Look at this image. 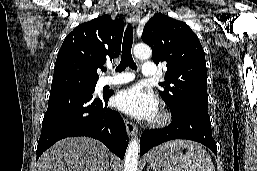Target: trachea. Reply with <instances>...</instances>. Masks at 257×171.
I'll return each mask as SVG.
<instances>
[{
	"instance_id": "3493384b",
	"label": "trachea",
	"mask_w": 257,
	"mask_h": 171,
	"mask_svg": "<svg viewBox=\"0 0 257 171\" xmlns=\"http://www.w3.org/2000/svg\"><path fill=\"white\" fill-rule=\"evenodd\" d=\"M133 43V27L129 24L125 30L123 44H122V55L121 61L118 67L116 68L117 72H122L126 67L131 69H136V64L134 63L131 48ZM106 71V69H104Z\"/></svg>"
}]
</instances>
